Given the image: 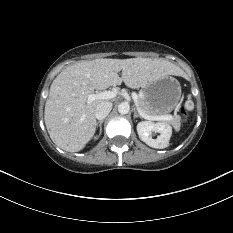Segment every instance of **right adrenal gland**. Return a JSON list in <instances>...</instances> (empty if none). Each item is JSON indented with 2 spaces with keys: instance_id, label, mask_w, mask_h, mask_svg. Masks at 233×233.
<instances>
[{
  "instance_id": "1",
  "label": "right adrenal gland",
  "mask_w": 233,
  "mask_h": 233,
  "mask_svg": "<svg viewBox=\"0 0 233 233\" xmlns=\"http://www.w3.org/2000/svg\"><path fill=\"white\" fill-rule=\"evenodd\" d=\"M102 123H103V120H100V121H98L97 122V124H96V126H98L99 125V127H100V133H99V136H101V134H102ZM98 136V137H99Z\"/></svg>"
}]
</instances>
